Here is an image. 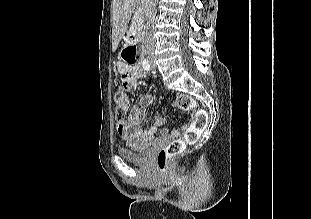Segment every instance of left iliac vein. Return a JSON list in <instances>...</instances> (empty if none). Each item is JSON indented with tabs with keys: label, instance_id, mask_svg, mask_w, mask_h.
I'll list each match as a JSON object with an SVG mask.
<instances>
[{
	"label": "left iliac vein",
	"instance_id": "1",
	"mask_svg": "<svg viewBox=\"0 0 311 219\" xmlns=\"http://www.w3.org/2000/svg\"><path fill=\"white\" fill-rule=\"evenodd\" d=\"M151 66L154 68L156 65H155V62H154V59H151Z\"/></svg>",
	"mask_w": 311,
	"mask_h": 219
}]
</instances>
